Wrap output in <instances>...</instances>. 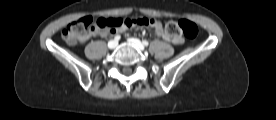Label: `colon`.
Here are the masks:
<instances>
[{
    "instance_id": "obj_1",
    "label": "colon",
    "mask_w": 276,
    "mask_h": 120,
    "mask_svg": "<svg viewBox=\"0 0 276 120\" xmlns=\"http://www.w3.org/2000/svg\"><path fill=\"white\" fill-rule=\"evenodd\" d=\"M152 18H129L125 20L117 18H92L84 17L70 23L62 32V38L68 44L74 45L83 40L87 35L107 32L108 30H119L132 26H150ZM165 32L171 36L184 35L188 39H195L198 35L197 25L189 20L169 21L165 26Z\"/></svg>"
}]
</instances>
